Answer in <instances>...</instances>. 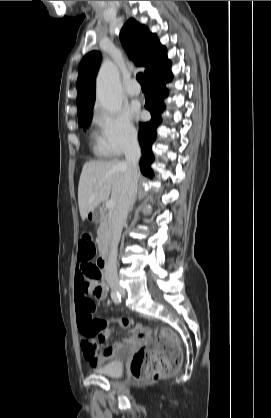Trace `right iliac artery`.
<instances>
[{
    "label": "right iliac artery",
    "instance_id": "82829eb1",
    "mask_svg": "<svg viewBox=\"0 0 271 418\" xmlns=\"http://www.w3.org/2000/svg\"><path fill=\"white\" fill-rule=\"evenodd\" d=\"M111 298L116 304H119L121 302V296L117 291L111 292Z\"/></svg>",
    "mask_w": 271,
    "mask_h": 418
}]
</instances>
